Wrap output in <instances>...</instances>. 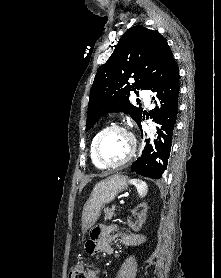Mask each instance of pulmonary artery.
<instances>
[{"label": "pulmonary artery", "mask_w": 221, "mask_h": 278, "mask_svg": "<svg viewBox=\"0 0 221 278\" xmlns=\"http://www.w3.org/2000/svg\"><path fill=\"white\" fill-rule=\"evenodd\" d=\"M140 94H141V97L144 99L145 104H146V105H149V103H150V98H149V95H148L147 90H141Z\"/></svg>", "instance_id": "obj_1"}]
</instances>
